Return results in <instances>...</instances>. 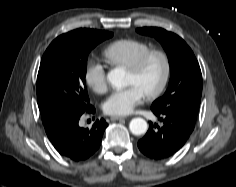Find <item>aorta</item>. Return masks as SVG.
Segmentation results:
<instances>
[{"mask_svg":"<svg viewBox=\"0 0 236 187\" xmlns=\"http://www.w3.org/2000/svg\"><path fill=\"white\" fill-rule=\"evenodd\" d=\"M108 82L117 90L127 86L126 72L122 68H115L107 74ZM129 129L134 135H142L148 129L147 122L143 118H134L130 121Z\"/></svg>","mask_w":236,"mask_h":187,"instance_id":"762f6f07","label":"aorta"}]
</instances>
